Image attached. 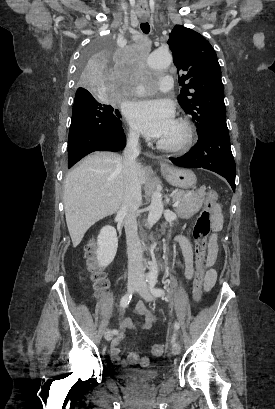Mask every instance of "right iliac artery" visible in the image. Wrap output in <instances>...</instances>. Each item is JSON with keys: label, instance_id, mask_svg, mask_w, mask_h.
I'll return each instance as SVG.
<instances>
[{"label": "right iliac artery", "instance_id": "1", "mask_svg": "<svg viewBox=\"0 0 275 409\" xmlns=\"http://www.w3.org/2000/svg\"><path fill=\"white\" fill-rule=\"evenodd\" d=\"M146 281H147V280H146ZM131 298H132V294H131V293L125 294V295L121 298L120 307H121L122 309H125V308L128 306L129 302L131 301ZM113 333L115 334V333H116V330H113Z\"/></svg>", "mask_w": 275, "mask_h": 409}]
</instances>
